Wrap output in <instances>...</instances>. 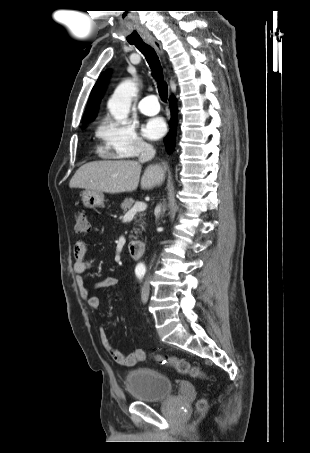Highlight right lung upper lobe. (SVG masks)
I'll list each match as a JSON object with an SVG mask.
<instances>
[{
  "instance_id": "cb5924a9",
  "label": "right lung upper lobe",
  "mask_w": 310,
  "mask_h": 453,
  "mask_svg": "<svg viewBox=\"0 0 310 453\" xmlns=\"http://www.w3.org/2000/svg\"><path fill=\"white\" fill-rule=\"evenodd\" d=\"M109 71H105L97 80L96 84L94 85L89 101L83 116V121L92 120L95 118L96 113L98 111V106L100 100L105 92L107 80H108Z\"/></svg>"
}]
</instances>
